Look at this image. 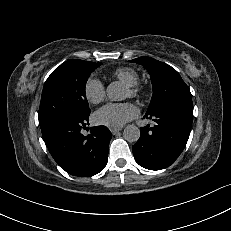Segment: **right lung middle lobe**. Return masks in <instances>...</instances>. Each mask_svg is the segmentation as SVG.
I'll return each instance as SVG.
<instances>
[{"label":"right lung middle lobe","mask_w":231,"mask_h":231,"mask_svg":"<svg viewBox=\"0 0 231 231\" xmlns=\"http://www.w3.org/2000/svg\"><path fill=\"white\" fill-rule=\"evenodd\" d=\"M100 65L71 59L50 74L43 87L39 108L41 130L63 117L90 114L85 86L91 72Z\"/></svg>","instance_id":"right-lung-middle-lobe-1"}]
</instances>
